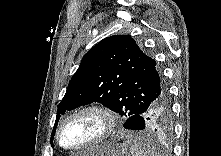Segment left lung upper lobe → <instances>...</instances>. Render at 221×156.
Segmentation results:
<instances>
[{
  "label": "left lung upper lobe",
  "mask_w": 221,
  "mask_h": 156,
  "mask_svg": "<svg viewBox=\"0 0 221 156\" xmlns=\"http://www.w3.org/2000/svg\"><path fill=\"white\" fill-rule=\"evenodd\" d=\"M162 82L155 60L131 36L107 37L82 58L58 106L57 118L92 102L129 118L156 99Z\"/></svg>",
  "instance_id": "obj_1"
}]
</instances>
